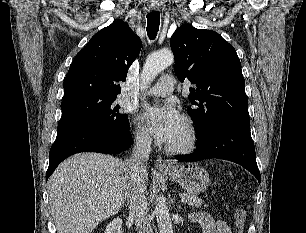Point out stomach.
<instances>
[{"mask_svg": "<svg viewBox=\"0 0 306 233\" xmlns=\"http://www.w3.org/2000/svg\"><path fill=\"white\" fill-rule=\"evenodd\" d=\"M161 172L192 195L203 193L209 185V174L197 163H184Z\"/></svg>", "mask_w": 306, "mask_h": 233, "instance_id": "stomach-1", "label": "stomach"}]
</instances>
